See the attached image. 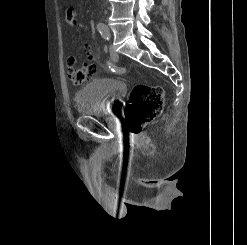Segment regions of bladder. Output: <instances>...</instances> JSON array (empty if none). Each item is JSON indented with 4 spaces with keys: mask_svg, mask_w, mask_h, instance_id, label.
Masks as SVG:
<instances>
[{
    "mask_svg": "<svg viewBox=\"0 0 247 245\" xmlns=\"http://www.w3.org/2000/svg\"><path fill=\"white\" fill-rule=\"evenodd\" d=\"M127 93V84L113 77L90 80L75 95L76 109L80 115L100 116L115 113Z\"/></svg>",
    "mask_w": 247,
    "mask_h": 245,
    "instance_id": "bladder-1",
    "label": "bladder"
}]
</instances>
